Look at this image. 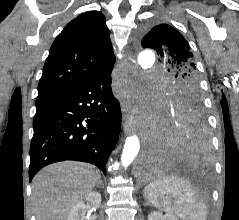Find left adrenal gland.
I'll return each instance as SVG.
<instances>
[{"label":"left adrenal gland","instance_id":"left-adrenal-gland-1","mask_svg":"<svg viewBox=\"0 0 239 220\" xmlns=\"http://www.w3.org/2000/svg\"><path fill=\"white\" fill-rule=\"evenodd\" d=\"M143 197L145 198V195H143ZM145 205H149V201L147 200Z\"/></svg>","mask_w":239,"mask_h":220}]
</instances>
